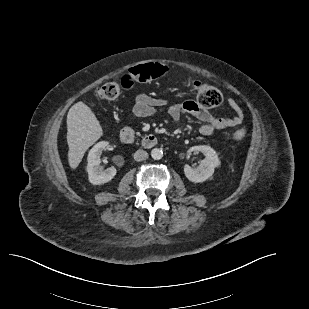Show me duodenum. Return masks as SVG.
<instances>
[{
	"mask_svg": "<svg viewBox=\"0 0 309 309\" xmlns=\"http://www.w3.org/2000/svg\"><path fill=\"white\" fill-rule=\"evenodd\" d=\"M119 136L123 143L131 144L135 140L136 135L132 128L124 127L120 130ZM141 143L146 148H152L157 145L158 139L153 134H147L142 138Z\"/></svg>",
	"mask_w": 309,
	"mask_h": 309,
	"instance_id": "1",
	"label": "duodenum"
}]
</instances>
